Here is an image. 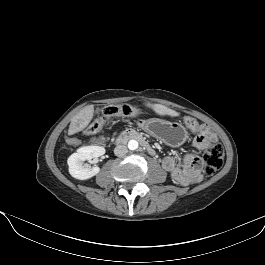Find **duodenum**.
Segmentation results:
<instances>
[{
    "label": "duodenum",
    "instance_id": "410a0bca",
    "mask_svg": "<svg viewBox=\"0 0 265 265\" xmlns=\"http://www.w3.org/2000/svg\"><path fill=\"white\" fill-rule=\"evenodd\" d=\"M131 139L139 141L140 144L142 145V147L146 150V152L148 154H150V155L155 154L153 147L144 139V137L139 132L133 131V130H128V131L121 133L114 140V144L120 145V144L127 142L128 140H131Z\"/></svg>",
    "mask_w": 265,
    "mask_h": 265
}]
</instances>
